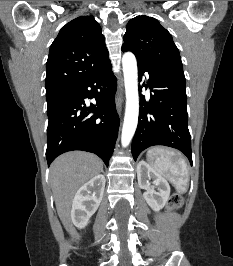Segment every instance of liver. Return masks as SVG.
Returning a JSON list of instances; mask_svg holds the SVG:
<instances>
[{
  "label": "liver",
  "instance_id": "1",
  "mask_svg": "<svg viewBox=\"0 0 233 266\" xmlns=\"http://www.w3.org/2000/svg\"><path fill=\"white\" fill-rule=\"evenodd\" d=\"M103 165L91 153L72 151L59 156L50 166V184L59 218L68 232L73 230L71 205L76 191L94 176Z\"/></svg>",
  "mask_w": 233,
  "mask_h": 266
}]
</instances>
